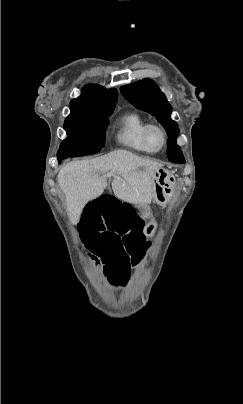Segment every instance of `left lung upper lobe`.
<instances>
[{
	"mask_svg": "<svg viewBox=\"0 0 243 404\" xmlns=\"http://www.w3.org/2000/svg\"><path fill=\"white\" fill-rule=\"evenodd\" d=\"M120 91L135 107L147 111L157 118L169 137L166 151L169 160L174 163H184V156L176 143L179 127L171 119L172 107L155 82L144 79L135 84L123 86Z\"/></svg>",
	"mask_w": 243,
	"mask_h": 404,
	"instance_id": "5c2ea615",
	"label": "left lung upper lobe"
}]
</instances>
